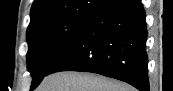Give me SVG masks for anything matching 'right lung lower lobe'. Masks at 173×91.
Masks as SVG:
<instances>
[{"label":"right lung lower lobe","mask_w":173,"mask_h":91,"mask_svg":"<svg viewBox=\"0 0 173 91\" xmlns=\"http://www.w3.org/2000/svg\"><path fill=\"white\" fill-rule=\"evenodd\" d=\"M145 18L140 0L111 1L87 20L46 75L66 70L92 72L149 91Z\"/></svg>","instance_id":"1"}]
</instances>
